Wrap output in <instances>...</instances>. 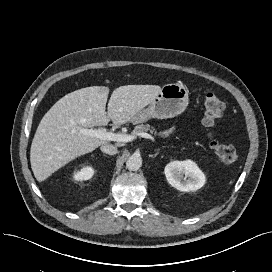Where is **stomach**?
Instances as JSON below:
<instances>
[{
	"label": "stomach",
	"mask_w": 272,
	"mask_h": 272,
	"mask_svg": "<svg viewBox=\"0 0 272 272\" xmlns=\"http://www.w3.org/2000/svg\"><path fill=\"white\" fill-rule=\"evenodd\" d=\"M188 102L189 96L186 87L177 83L166 84L149 106L137 112L131 121L138 124L150 118H173L185 111Z\"/></svg>",
	"instance_id": "stomach-1"
}]
</instances>
